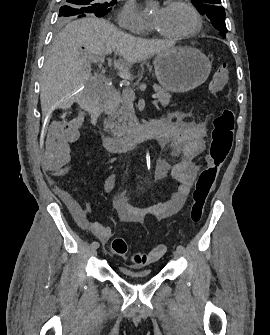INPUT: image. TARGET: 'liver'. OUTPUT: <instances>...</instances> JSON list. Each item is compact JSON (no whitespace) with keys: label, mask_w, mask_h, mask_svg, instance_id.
I'll return each instance as SVG.
<instances>
[{"label":"liver","mask_w":270,"mask_h":335,"mask_svg":"<svg viewBox=\"0 0 270 335\" xmlns=\"http://www.w3.org/2000/svg\"><path fill=\"white\" fill-rule=\"evenodd\" d=\"M112 54L118 52L126 64L115 62L119 76L128 78L127 64H137L163 50L173 48L166 40H145L119 32L114 24L103 18H81L67 24L57 34L46 56L40 82V104L43 116L50 114L63 98L75 94L78 88H93L98 80L92 78L90 64L85 52ZM91 84V86H90Z\"/></svg>","instance_id":"6515ba94"}]
</instances>
